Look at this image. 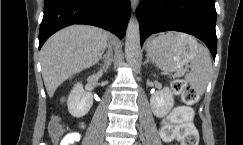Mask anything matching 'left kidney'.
<instances>
[{"label":"left kidney","instance_id":"obj_1","mask_svg":"<svg viewBox=\"0 0 243 145\" xmlns=\"http://www.w3.org/2000/svg\"><path fill=\"white\" fill-rule=\"evenodd\" d=\"M150 106L153 114L162 118L166 116L174 106V97L168 87L156 92L150 98Z\"/></svg>","mask_w":243,"mask_h":145}]
</instances>
